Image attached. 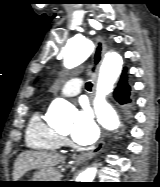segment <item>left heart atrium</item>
Returning <instances> with one entry per match:
<instances>
[{"label": "left heart atrium", "instance_id": "left-heart-atrium-1", "mask_svg": "<svg viewBox=\"0 0 160 187\" xmlns=\"http://www.w3.org/2000/svg\"><path fill=\"white\" fill-rule=\"evenodd\" d=\"M99 135L93 115L87 107L82 108L72 128L71 138L79 145H90L94 143Z\"/></svg>", "mask_w": 160, "mask_h": 187}]
</instances>
